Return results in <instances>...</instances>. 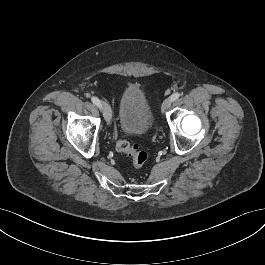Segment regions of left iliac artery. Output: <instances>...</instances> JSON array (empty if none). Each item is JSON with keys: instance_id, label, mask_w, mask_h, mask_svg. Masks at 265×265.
<instances>
[{"instance_id": "1", "label": "left iliac artery", "mask_w": 265, "mask_h": 265, "mask_svg": "<svg viewBox=\"0 0 265 265\" xmlns=\"http://www.w3.org/2000/svg\"><path fill=\"white\" fill-rule=\"evenodd\" d=\"M180 97V93H174V94H172L171 95V101H175V100H177L178 98Z\"/></svg>"}]
</instances>
